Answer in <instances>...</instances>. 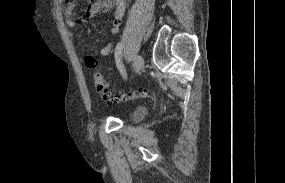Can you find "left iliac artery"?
Here are the masks:
<instances>
[{
    "label": "left iliac artery",
    "instance_id": "left-iliac-artery-1",
    "mask_svg": "<svg viewBox=\"0 0 285 183\" xmlns=\"http://www.w3.org/2000/svg\"><path fill=\"white\" fill-rule=\"evenodd\" d=\"M123 43L120 42L116 45V48H115V59H116V64H117V67L120 71V73L122 74V76L124 78H126V70L121 62V53H122V49H123Z\"/></svg>",
    "mask_w": 285,
    "mask_h": 183
}]
</instances>
